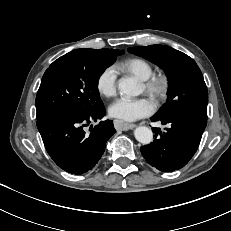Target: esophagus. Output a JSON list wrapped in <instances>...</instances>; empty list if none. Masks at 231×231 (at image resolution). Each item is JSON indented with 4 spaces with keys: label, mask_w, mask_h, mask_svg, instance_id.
<instances>
[{
    "label": "esophagus",
    "mask_w": 231,
    "mask_h": 231,
    "mask_svg": "<svg viewBox=\"0 0 231 231\" xmlns=\"http://www.w3.org/2000/svg\"><path fill=\"white\" fill-rule=\"evenodd\" d=\"M114 126H115L116 130H124V131L130 130V129H133L134 127H136L135 124L124 123V122H120V121H116L114 123Z\"/></svg>",
    "instance_id": "obj_1"
}]
</instances>
